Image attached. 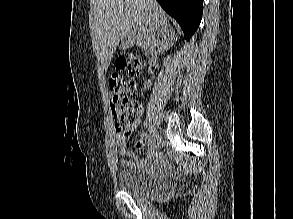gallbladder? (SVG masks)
I'll return each instance as SVG.
<instances>
[{"label":"gallbladder","mask_w":293,"mask_h":219,"mask_svg":"<svg viewBox=\"0 0 293 219\" xmlns=\"http://www.w3.org/2000/svg\"><path fill=\"white\" fill-rule=\"evenodd\" d=\"M135 35L131 34L121 40V47L123 50L129 49L134 46Z\"/></svg>","instance_id":"bac80fb5"}]
</instances>
